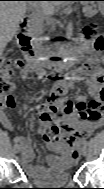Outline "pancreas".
<instances>
[{"mask_svg": "<svg viewBox=\"0 0 104 189\" xmlns=\"http://www.w3.org/2000/svg\"><path fill=\"white\" fill-rule=\"evenodd\" d=\"M85 11H86V12H90V9H89V8H87V9H85Z\"/></svg>", "mask_w": 104, "mask_h": 189, "instance_id": "1", "label": "pancreas"}]
</instances>
